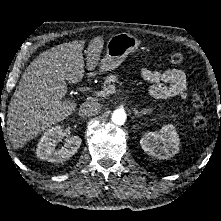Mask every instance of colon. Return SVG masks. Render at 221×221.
Returning a JSON list of instances; mask_svg holds the SVG:
<instances>
[{"mask_svg":"<svg viewBox=\"0 0 221 221\" xmlns=\"http://www.w3.org/2000/svg\"><path fill=\"white\" fill-rule=\"evenodd\" d=\"M185 61V56L182 53L176 52L169 56L170 64L174 66L182 65ZM203 99L201 93L195 90L192 95V107L194 109L193 123L199 128H204L208 125V120L199 111L203 107Z\"/></svg>","mask_w":221,"mask_h":221,"instance_id":"colon-1","label":"colon"}]
</instances>
